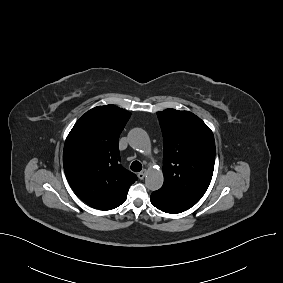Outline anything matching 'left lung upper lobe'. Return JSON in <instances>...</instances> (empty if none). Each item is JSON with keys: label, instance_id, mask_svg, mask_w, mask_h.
Wrapping results in <instances>:
<instances>
[{"label": "left lung upper lobe", "instance_id": "1", "mask_svg": "<svg viewBox=\"0 0 283 283\" xmlns=\"http://www.w3.org/2000/svg\"><path fill=\"white\" fill-rule=\"evenodd\" d=\"M163 133L164 183L160 190L189 209L205 194L213 175L215 141L195 114L166 109L157 112Z\"/></svg>", "mask_w": 283, "mask_h": 283}]
</instances>
